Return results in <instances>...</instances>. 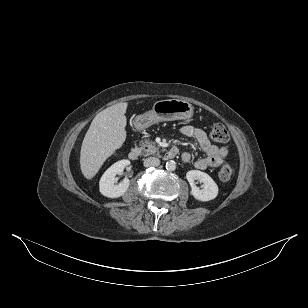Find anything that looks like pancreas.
<instances>
[{"label":"pancreas","instance_id":"cf45deb5","mask_svg":"<svg viewBox=\"0 0 308 308\" xmlns=\"http://www.w3.org/2000/svg\"><path fill=\"white\" fill-rule=\"evenodd\" d=\"M140 146L143 156L159 155V146L153 141H142Z\"/></svg>","mask_w":308,"mask_h":308}]
</instances>
